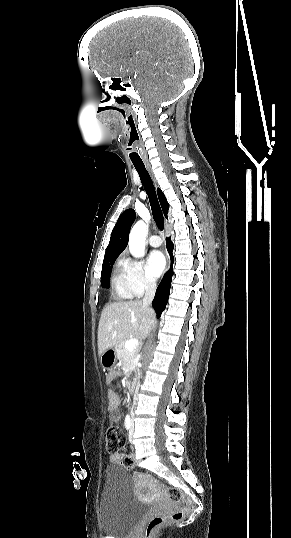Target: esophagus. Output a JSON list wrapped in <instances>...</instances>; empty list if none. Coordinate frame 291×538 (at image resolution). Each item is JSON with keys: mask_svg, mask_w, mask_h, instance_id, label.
<instances>
[{"mask_svg": "<svg viewBox=\"0 0 291 538\" xmlns=\"http://www.w3.org/2000/svg\"><path fill=\"white\" fill-rule=\"evenodd\" d=\"M149 170H150V168H149ZM150 172H151V171H150ZM151 174H152V173H151ZM152 177H153V174H152ZM153 179H154V178H153ZM168 266H169V258H168Z\"/></svg>", "mask_w": 291, "mask_h": 538, "instance_id": "esophagus-1", "label": "esophagus"}]
</instances>
